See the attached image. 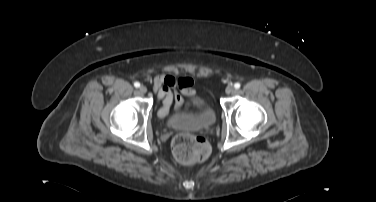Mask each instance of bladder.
Segmentation results:
<instances>
[{"label": "bladder", "mask_w": 376, "mask_h": 202, "mask_svg": "<svg viewBox=\"0 0 376 202\" xmlns=\"http://www.w3.org/2000/svg\"><path fill=\"white\" fill-rule=\"evenodd\" d=\"M194 109L168 117L165 123L168 127L182 130H197L210 127L216 120L213 108L203 99L196 97Z\"/></svg>", "instance_id": "obj_1"}]
</instances>
